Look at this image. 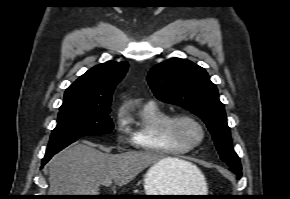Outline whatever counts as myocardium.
Segmentation results:
<instances>
[{
  "mask_svg": "<svg viewBox=\"0 0 290 199\" xmlns=\"http://www.w3.org/2000/svg\"><path fill=\"white\" fill-rule=\"evenodd\" d=\"M183 124H192L196 126L200 131L199 138L192 140L187 138L180 130ZM166 134L175 143L186 147L187 149H193L203 143L206 137V129L202 122L196 117L188 114H179L171 117L166 125Z\"/></svg>",
  "mask_w": 290,
  "mask_h": 199,
  "instance_id": "f54148a6",
  "label": "myocardium"
}]
</instances>
